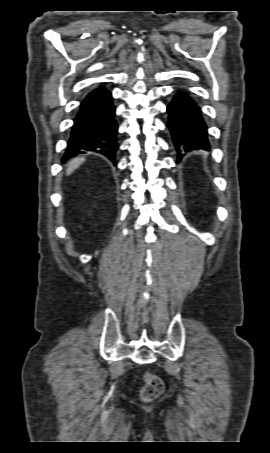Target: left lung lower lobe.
I'll list each match as a JSON object with an SVG mask.
<instances>
[{"mask_svg":"<svg viewBox=\"0 0 270 453\" xmlns=\"http://www.w3.org/2000/svg\"><path fill=\"white\" fill-rule=\"evenodd\" d=\"M169 128L180 159L182 152L210 150L207 124L202 111L186 92H178L167 106Z\"/></svg>","mask_w":270,"mask_h":453,"instance_id":"0a47b994","label":"left lung lower lobe"}]
</instances>
